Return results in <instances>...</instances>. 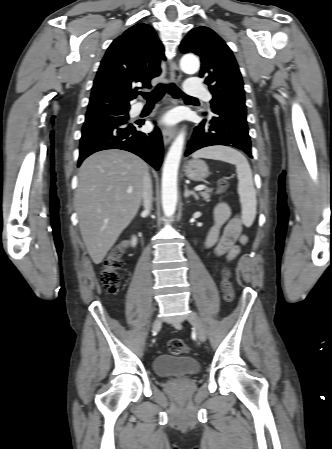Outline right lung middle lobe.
<instances>
[{"label": "right lung middle lobe", "instance_id": "1", "mask_svg": "<svg viewBox=\"0 0 332 449\" xmlns=\"http://www.w3.org/2000/svg\"><path fill=\"white\" fill-rule=\"evenodd\" d=\"M129 108H116L98 112L87 113L84 124L99 122L107 119H127Z\"/></svg>", "mask_w": 332, "mask_h": 449}]
</instances>
